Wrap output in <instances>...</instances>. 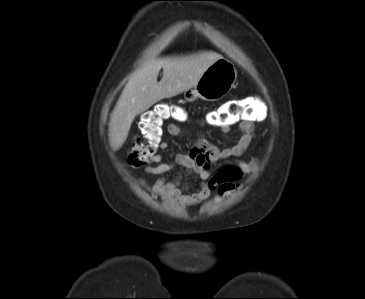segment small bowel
<instances>
[{"label": "small bowel", "mask_w": 365, "mask_h": 299, "mask_svg": "<svg viewBox=\"0 0 365 299\" xmlns=\"http://www.w3.org/2000/svg\"><path fill=\"white\" fill-rule=\"evenodd\" d=\"M257 120L258 117L256 115L249 120L239 122L238 127L241 136L237 143L231 147L220 148L207 138L199 136L187 153L176 155L172 162H161L162 156L157 154L153 161L155 165L145 168L146 173L159 176L153 186V191L162 198L171 202H177L180 206L185 207L205 198L211 188L227 183L231 184V182L238 181L243 175L252 173L257 168L256 159L249 162L237 161L213 174L210 173L209 168L218 161L243 155L254 139V123ZM166 130L169 135L175 137L185 134L184 130L175 123L168 124ZM229 130V125L221 127L223 135H227ZM167 147L168 144L165 141L160 142L159 149L163 150ZM176 165L183 166L198 176L201 180V185L197 191L186 194L179 178L174 181L168 180L166 174Z\"/></svg>", "instance_id": "small-bowel-1"}]
</instances>
